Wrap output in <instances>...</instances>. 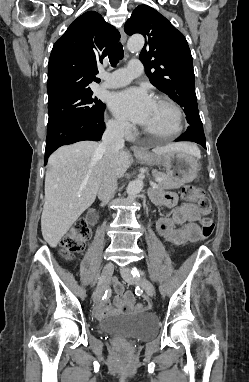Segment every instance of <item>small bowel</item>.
<instances>
[{
  "mask_svg": "<svg viewBox=\"0 0 249 382\" xmlns=\"http://www.w3.org/2000/svg\"><path fill=\"white\" fill-rule=\"evenodd\" d=\"M154 202L174 208L171 216H162L157 221V230L166 240L175 244H184L198 239L200 228L197 221L200 218V211L194 204L177 205V198L173 193L156 194ZM113 288L116 293L113 306L110 305L108 299L101 300L97 304L98 315L104 316L132 310L133 295L124 292V287L118 280H113Z\"/></svg>",
  "mask_w": 249,
  "mask_h": 382,
  "instance_id": "1",
  "label": "small bowel"
}]
</instances>
